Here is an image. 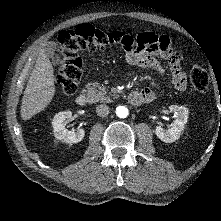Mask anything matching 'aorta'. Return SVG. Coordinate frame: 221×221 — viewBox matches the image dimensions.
<instances>
[{
	"label": "aorta",
	"mask_w": 221,
	"mask_h": 221,
	"mask_svg": "<svg viewBox=\"0 0 221 221\" xmlns=\"http://www.w3.org/2000/svg\"><path fill=\"white\" fill-rule=\"evenodd\" d=\"M116 114L120 118H126L129 115L128 108H126L125 106H118L116 108Z\"/></svg>",
	"instance_id": "obj_1"
}]
</instances>
